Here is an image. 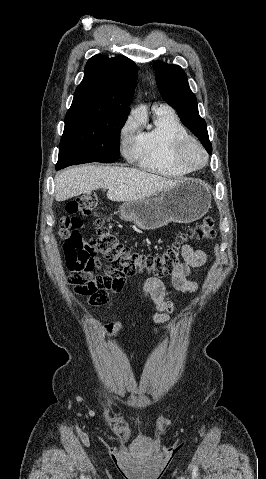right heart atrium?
<instances>
[{
  "instance_id": "obj_1",
  "label": "right heart atrium",
  "mask_w": 266,
  "mask_h": 479,
  "mask_svg": "<svg viewBox=\"0 0 266 479\" xmlns=\"http://www.w3.org/2000/svg\"><path fill=\"white\" fill-rule=\"evenodd\" d=\"M134 125L131 121H127L120 130L119 137L122 141L127 140L132 136ZM126 155L129 157V149L126 150Z\"/></svg>"
}]
</instances>
